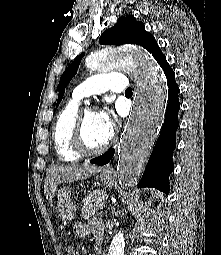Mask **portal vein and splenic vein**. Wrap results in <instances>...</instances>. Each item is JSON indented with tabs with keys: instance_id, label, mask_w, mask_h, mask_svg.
Here are the masks:
<instances>
[{
	"instance_id": "1",
	"label": "portal vein and splenic vein",
	"mask_w": 221,
	"mask_h": 255,
	"mask_svg": "<svg viewBox=\"0 0 221 255\" xmlns=\"http://www.w3.org/2000/svg\"><path fill=\"white\" fill-rule=\"evenodd\" d=\"M98 207L99 209H103L105 207V203H101Z\"/></svg>"
}]
</instances>
